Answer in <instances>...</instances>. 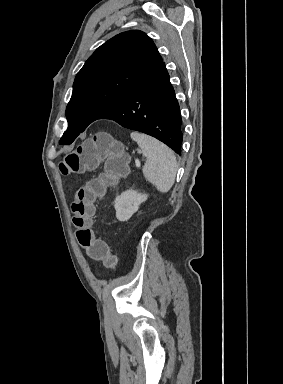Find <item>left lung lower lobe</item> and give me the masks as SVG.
Returning a JSON list of instances; mask_svg holds the SVG:
<instances>
[{
	"instance_id": "left-lung-lower-lobe-1",
	"label": "left lung lower lobe",
	"mask_w": 283,
	"mask_h": 384,
	"mask_svg": "<svg viewBox=\"0 0 283 384\" xmlns=\"http://www.w3.org/2000/svg\"><path fill=\"white\" fill-rule=\"evenodd\" d=\"M99 119L114 120L125 128L151 135L181 154L180 108L163 61Z\"/></svg>"
}]
</instances>
